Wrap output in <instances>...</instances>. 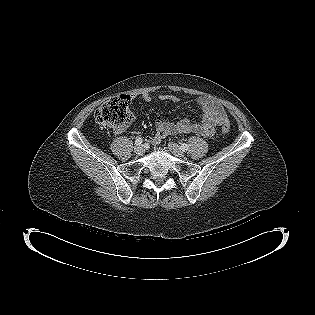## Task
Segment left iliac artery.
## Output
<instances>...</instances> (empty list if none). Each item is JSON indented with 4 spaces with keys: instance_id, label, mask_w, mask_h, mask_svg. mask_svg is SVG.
Returning <instances> with one entry per match:
<instances>
[{
    "instance_id": "left-iliac-artery-1",
    "label": "left iliac artery",
    "mask_w": 315,
    "mask_h": 315,
    "mask_svg": "<svg viewBox=\"0 0 315 315\" xmlns=\"http://www.w3.org/2000/svg\"><path fill=\"white\" fill-rule=\"evenodd\" d=\"M180 147H181V149H182L183 151H187L188 148H189V146H188L187 144H185V143L181 144Z\"/></svg>"
}]
</instances>
